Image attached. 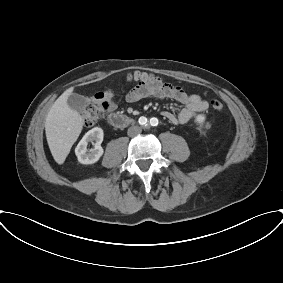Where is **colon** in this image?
<instances>
[{
  "mask_svg": "<svg viewBox=\"0 0 283 283\" xmlns=\"http://www.w3.org/2000/svg\"><path fill=\"white\" fill-rule=\"evenodd\" d=\"M131 79L138 81L139 83L148 85L152 88H157L162 84L161 79L158 76L147 73H134L130 76ZM210 108L214 111H222L223 103L219 99H211L209 101ZM107 109V103L98 97V100L94 104H90L86 107L84 112V122L88 127L94 126L103 117L105 110Z\"/></svg>",
  "mask_w": 283,
  "mask_h": 283,
  "instance_id": "1",
  "label": "colon"
}]
</instances>
